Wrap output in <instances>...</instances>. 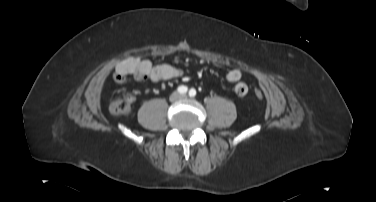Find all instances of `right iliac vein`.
Wrapping results in <instances>:
<instances>
[{"mask_svg": "<svg viewBox=\"0 0 376 202\" xmlns=\"http://www.w3.org/2000/svg\"><path fill=\"white\" fill-rule=\"evenodd\" d=\"M177 96H178V95H177L176 93H175V94H173V95H172V99H176V98H177Z\"/></svg>", "mask_w": 376, "mask_h": 202, "instance_id": "right-iliac-vein-1", "label": "right iliac vein"}]
</instances>
